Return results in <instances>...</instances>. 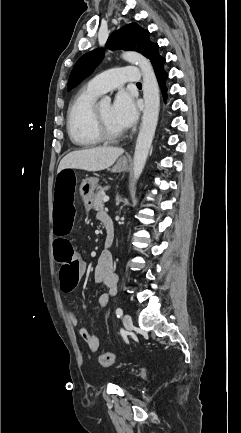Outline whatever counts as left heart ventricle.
I'll return each instance as SVG.
<instances>
[{"instance_id":"b2bd125f","label":"left heart ventricle","mask_w":241,"mask_h":433,"mask_svg":"<svg viewBox=\"0 0 241 433\" xmlns=\"http://www.w3.org/2000/svg\"><path fill=\"white\" fill-rule=\"evenodd\" d=\"M98 112L106 128L113 133L122 132L117 126L112 117V106L110 104H102L98 106Z\"/></svg>"}]
</instances>
